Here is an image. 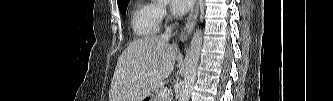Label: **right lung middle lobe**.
Instances as JSON below:
<instances>
[{"label": "right lung middle lobe", "instance_id": "dd1d6c3e", "mask_svg": "<svg viewBox=\"0 0 333 101\" xmlns=\"http://www.w3.org/2000/svg\"><path fill=\"white\" fill-rule=\"evenodd\" d=\"M128 2H129V0H126L123 3H121V4H118V7H119L120 12L122 14H126V9H127Z\"/></svg>", "mask_w": 333, "mask_h": 101}]
</instances>
